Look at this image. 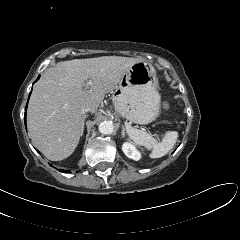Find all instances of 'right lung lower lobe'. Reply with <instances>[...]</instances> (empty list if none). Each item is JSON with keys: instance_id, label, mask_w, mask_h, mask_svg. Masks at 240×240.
<instances>
[{"instance_id": "right-lung-lower-lobe-1", "label": "right lung lower lobe", "mask_w": 240, "mask_h": 240, "mask_svg": "<svg viewBox=\"0 0 240 240\" xmlns=\"http://www.w3.org/2000/svg\"><path fill=\"white\" fill-rule=\"evenodd\" d=\"M38 79H39V78H38ZM38 79H37V80H38ZM37 80H36V81H37ZM30 94H31V93H30ZM26 109H27V105H26V108H25V116H24L25 123H26ZM60 171H61V172H65V170H60Z\"/></svg>"}]
</instances>
